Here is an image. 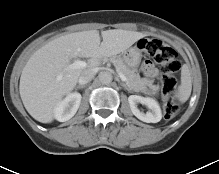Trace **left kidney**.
Segmentation results:
<instances>
[{
    "mask_svg": "<svg viewBox=\"0 0 219 174\" xmlns=\"http://www.w3.org/2000/svg\"><path fill=\"white\" fill-rule=\"evenodd\" d=\"M128 102L132 113L141 121L146 123H157L162 118V113L159 104L152 98H145L138 95H131L128 97ZM141 103L149 108L146 113L141 112L137 108V104Z\"/></svg>",
    "mask_w": 219,
    "mask_h": 174,
    "instance_id": "left-kidney-1",
    "label": "left kidney"
}]
</instances>
